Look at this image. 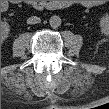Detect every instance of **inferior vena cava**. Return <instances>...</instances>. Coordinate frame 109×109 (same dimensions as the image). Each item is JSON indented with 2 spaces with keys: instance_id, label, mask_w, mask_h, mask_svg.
<instances>
[{
  "instance_id": "inferior-vena-cava-1",
  "label": "inferior vena cava",
  "mask_w": 109,
  "mask_h": 109,
  "mask_svg": "<svg viewBox=\"0 0 109 109\" xmlns=\"http://www.w3.org/2000/svg\"><path fill=\"white\" fill-rule=\"evenodd\" d=\"M41 20H40V18L39 17H37V16H32V17H29L28 19H27V24H37V23H39Z\"/></svg>"
}]
</instances>
